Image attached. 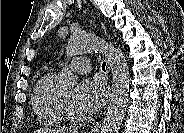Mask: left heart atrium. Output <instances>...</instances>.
Masks as SVG:
<instances>
[{
	"label": "left heart atrium",
	"mask_w": 184,
	"mask_h": 133,
	"mask_svg": "<svg viewBox=\"0 0 184 133\" xmlns=\"http://www.w3.org/2000/svg\"><path fill=\"white\" fill-rule=\"evenodd\" d=\"M107 88L100 79L83 80L77 86L73 102L76 109L83 113L92 114L98 111L107 100Z\"/></svg>",
	"instance_id": "left-heart-atrium-1"
}]
</instances>
